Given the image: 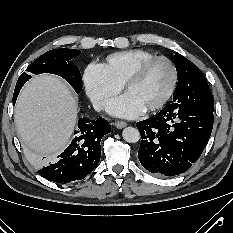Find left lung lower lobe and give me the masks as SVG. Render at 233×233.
Returning <instances> with one entry per match:
<instances>
[{
    "instance_id": "0a47b994",
    "label": "left lung lower lobe",
    "mask_w": 233,
    "mask_h": 233,
    "mask_svg": "<svg viewBox=\"0 0 233 233\" xmlns=\"http://www.w3.org/2000/svg\"><path fill=\"white\" fill-rule=\"evenodd\" d=\"M213 118V111L172 103L137 122L142 138L138 157L143 167L158 176L187 171L210 138Z\"/></svg>"
}]
</instances>
